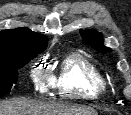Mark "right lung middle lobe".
Wrapping results in <instances>:
<instances>
[{
    "instance_id": "dd1d6c3e",
    "label": "right lung middle lobe",
    "mask_w": 131,
    "mask_h": 115,
    "mask_svg": "<svg viewBox=\"0 0 131 115\" xmlns=\"http://www.w3.org/2000/svg\"><path fill=\"white\" fill-rule=\"evenodd\" d=\"M37 55V52H25L12 58L8 64L0 65V97L9 93L12 86L17 82L18 69Z\"/></svg>"
}]
</instances>
